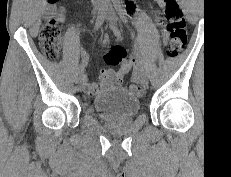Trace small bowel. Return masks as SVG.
Wrapping results in <instances>:
<instances>
[{"instance_id": "1", "label": "small bowel", "mask_w": 231, "mask_h": 177, "mask_svg": "<svg viewBox=\"0 0 231 177\" xmlns=\"http://www.w3.org/2000/svg\"><path fill=\"white\" fill-rule=\"evenodd\" d=\"M160 4H162V0H157ZM126 6L131 14L135 13L136 6L132 0H125ZM56 4V3H55ZM55 4L50 5V9H55ZM56 15L59 21L65 20V9L63 7H58L55 9ZM114 35L116 39L119 38V32L114 30ZM110 38L106 36L104 38L105 42H108ZM80 55L86 59V55L83 50H79ZM135 60H125L119 63L120 68L115 71L112 69H102L99 72L98 79L96 82L90 83L88 86V92L90 94H96L102 87L112 86V85H122L125 81V77L127 73L130 71L132 67L135 66Z\"/></svg>"}]
</instances>
